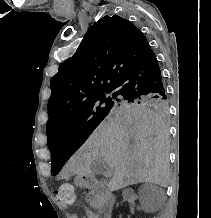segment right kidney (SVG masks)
Instances as JSON below:
<instances>
[{"label": "right kidney", "mask_w": 211, "mask_h": 218, "mask_svg": "<svg viewBox=\"0 0 211 218\" xmlns=\"http://www.w3.org/2000/svg\"><path fill=\"white\" fill-rule=\"evenodd\" d=\"M122 196L123 198H127V200H130L131 202L139 201V198L135 196L134 190H132V188H126V190H123Z\"/></svg>", "instance_id": "obj_1"}]
</instances>
